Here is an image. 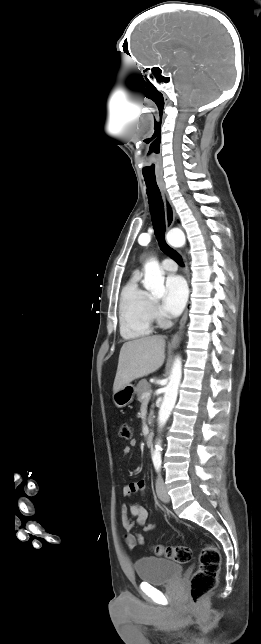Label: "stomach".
<instances>
[{"mask_svg":"<svg viewBox=\"0 0 261 644\" xmlns=\"http://www.w3.org/2000/svg\"><path fill=\"white\" fill-rule=\"evenodd\" d=\"M135 393L136 387L128 384L113 394V402L117 407L123 408L133 401Z\"/></svg>","mask_w":261,"mask_h":644,"instance_id":"obj_1","label":"stomach"}]
</instances>
